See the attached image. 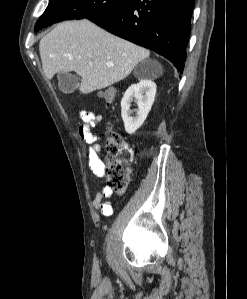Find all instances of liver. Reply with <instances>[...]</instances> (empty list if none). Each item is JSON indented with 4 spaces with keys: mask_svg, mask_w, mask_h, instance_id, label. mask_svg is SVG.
Segmentation results:
<instances>
[{
    "mask_svg": "<svg viewBox=\"0 0 247 299\" xmlns=\"http://www.w3.org/2000/svg\"><path fill=\"white\" fill-rule=\"evenodd\" d=\"M39 51L46 77L74 71L81 76L82 94L123 80L150 54L87 19L58 24L40 40Z\"/></svg>",
    "mask_w": 247,
    "mask_h": 299,
    "instance_id": "6515ba94",
    "label": "liver"
}]
</instances>
